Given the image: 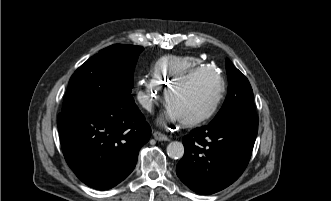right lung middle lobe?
Listing matches in <instances>:
<instances>
[{
    "label": "right lung middle lobe",
    "mask_w": 331,
    "mask_h": 201,
    "mask_svg": "<svg viewBox=\"0 0 331 201\" xmlns=\"http://www.w3.org/2000/svg\"><path fill=\"white\" fill-rule=\"evenodd\" d=\"M143 47L111 45L82 64L72 75L62 112L104 99L126 96L133 87V72Z\"/></svg>",
    "instance_id": "right-lung-middle-lobe-1"
}]
</instances>
